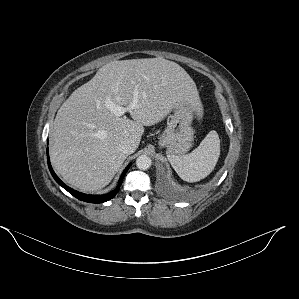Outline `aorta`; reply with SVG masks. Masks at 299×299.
Here are the masks:
<instances>
[{"mask_svg": "<svg viewBox=\"0 0 299 299\" xmlns=\"http://www.w3.org/2000/svg\"><path fill=\"white\" fill-rule=\"evenodd\" d=\"M152 160L147 155H141L136 159V166L140 170H147L151 167Z\"/></svg>", "mask_w": 299, "mask_h": 299, "instance_id": "1", "label": "aorta"}]
</instances>
